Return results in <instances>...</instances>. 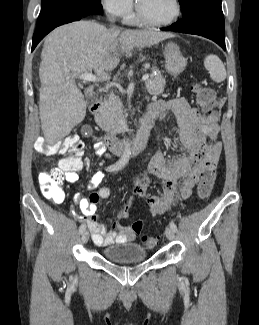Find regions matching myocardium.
<instances>
[{
	"label": "myocardium",
	"instance_id": "f54148a6",
	"mask_svg": "<svg viewBox=\"0 0 259 325\" xmlns=\"http://www.w3.org/2000/svg\"><path fill=\"white\" fill-rule=\"evenodd\" d=\"M173 4V13L172 15L165 19V20H153L148 18L144 13L141 8V4L138 1L136 4V14L138 19L143 22L144 24L150 25V26H156V27H163V26H168L174 23L181 15L182 7L180 0H172Z\"/></svg>",
	"mask_w": 259,
	"mask_h": 325
}]
</instances>
